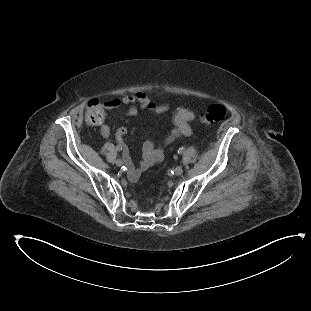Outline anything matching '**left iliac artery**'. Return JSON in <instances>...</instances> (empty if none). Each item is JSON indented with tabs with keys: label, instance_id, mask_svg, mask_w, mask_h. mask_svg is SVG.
Wrapping results in <instances>:
<instances>
[{
	"label": "left iliac artery",
	"instance_id": "44dca946",
	"mask_svg": "<svg viewBox=\"0 0 311 311\" xmlns=\"http://www.w3.org/2000/svg\"><path fill=\"white\" fill-rule=\"evenodd\" d=\"M178 153L179 154H183L184 153V148L183 147L179 148Z\"/></svg>",
	"mask_w": 311,
	"mask_h": 311
}]
</instances>
